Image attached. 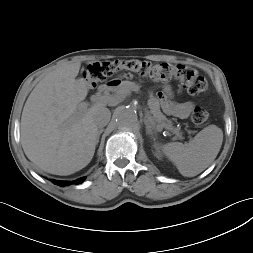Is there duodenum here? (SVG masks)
Masks as SVG:
<instances>
[{"mask_svg":"<svg viewBox=\"0 0 253 253\" xmlns=\"http://www.w3.org/2000/svg\"><path fill=\"white\" fill-rule=\"evenodd\" d=\"M115 85H116L115 82H109V83L103 84V85H101V86L98 88L97 94L101 95V94L105 93V92L108 91L111 87H113V86H115Z\"/></svg>","mask_w":253,"mask_h":253,"instance_id":"obj_1","label":"duodenum"}]
</instances>
